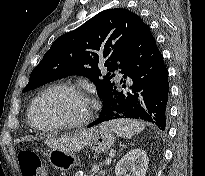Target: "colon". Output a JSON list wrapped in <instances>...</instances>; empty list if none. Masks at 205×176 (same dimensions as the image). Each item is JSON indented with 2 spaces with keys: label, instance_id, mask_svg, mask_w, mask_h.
I'll use <instances>...</instances> for the list:
<instances>
[{
  "label": "colon",
  "instance_id": "obj_1",
  "mask_svg": "<svg viewBox=\"0 0 205 176\" xmlns=\"http://www.w3.org/2000/svg\"><path fill=\"white\" fill-rule=\"evenodd\" d=\"M17 162L22 176H45L46 169L40 157L31 150H20Z\"/></svg>",
  "mask_w": 205,
  "mask_h": 176
}]
</instances>
